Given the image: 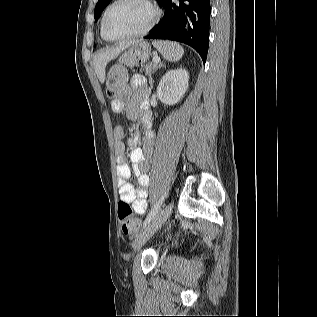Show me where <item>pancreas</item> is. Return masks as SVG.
Returning <instances> with one entry per match:
<instances>
[{"mask_svg":"<svg viewBox=\"0 0 317 317\" xmlns=\"http://www.w3.org/2000/svg\"><path fill=\"white\" fill-rule=\"evenodd\" d=\"M142 69L145 71L147 75L151 76V74L154 73V71H156L157 64H155L154 61H148L146 62V65L142 66Z\"/></svg>","mask_w":317,"mask_h":317,"instance_id":"1","label":"pancreas"}]
</instances>
